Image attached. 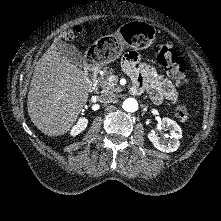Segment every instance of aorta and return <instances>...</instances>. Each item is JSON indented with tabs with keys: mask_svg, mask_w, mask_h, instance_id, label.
I'll use <instances>...</instances> for the list:
<instances>
[{
	"mask_svg": "<svg viewBox=\"0 0 221 221\" xmlns=\"http://www.w3.org/2000/svg\"><path fill=\"white\" fill-rule=\"evenodd\" d=\"M126 112L133 113L138 109V102L134 98H127L122 105Z\"/></svg>",
	"mask_w": 221,
	"mask_h": 221,
	"instance_id": "1",
	"label": "aorta"
}]
</instances>
